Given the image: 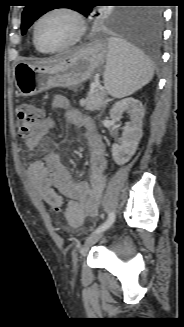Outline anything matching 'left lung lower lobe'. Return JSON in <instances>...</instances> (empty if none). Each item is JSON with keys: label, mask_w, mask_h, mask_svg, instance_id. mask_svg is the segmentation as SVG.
I'll return each mask as SVG.
<instances>
[{"label": "left lung lower lobe", "mask_w": 184, "mask_h": 327, "mask_svg": "<svg viewBox=\"0 0 184 327\" xmlns=\"http://www.w3.org/2000/svg\"><path fill=\"white\" fill-rule=\"evenodd\" d=\"M126 37L137 49L157 56L162 37L161 11L154 7L141 9L137 20L127 27Z\"/></svg>", "instance_id": "0a47b994"}]
</instances>
